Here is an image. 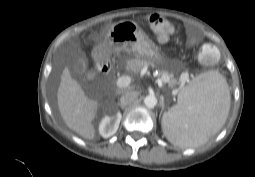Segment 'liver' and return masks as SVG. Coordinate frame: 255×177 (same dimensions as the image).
<instances>
[{
    "label": "liver",
    "mask_w": 255,
    "mask_h": 177,
    "mask_svg": "<svg viewBox=\"0 0 255 177\" xmlns=\"http://www.w3.org/2000/svg\"><path fill=\"white\" fill-rule=\"evenodd\" d=\"M59 112L67 127L86 139L95 138L92 124L99 103L89 99L81 86L71 77L70 70L65 67L57 91Z\"/></svg>",
    "instance_id": "1"
}]
</instances>
